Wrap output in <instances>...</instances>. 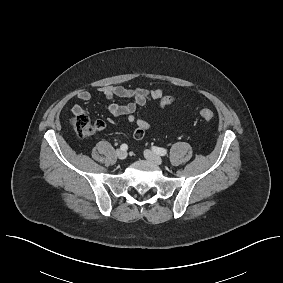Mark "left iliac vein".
I'll return each instance as SVG.
<instances>
[{
    "label": "left iliac vein",
    "mask_w": 283,
    "mask_h": 283,
    "mask_svg": "<svg viewBox=\"0 0 283 283\" xmlns=\"http://www.w3.org/2000/svg\"><path fill=\"white\" fill-rule=\"evenodd\" d=\"M144 156L147 160L157 164V165H161L163 163L162 158L155 154L154 152L150 151V150H145L144 151Z\"/></svg>",
    "instance_id": "1"
}]
</instances>
